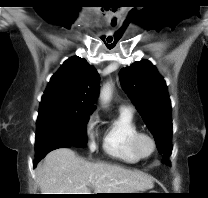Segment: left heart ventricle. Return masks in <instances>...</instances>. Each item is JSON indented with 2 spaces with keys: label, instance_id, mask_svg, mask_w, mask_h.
<instances>
[{
  "label": "left heart ventricle",
  "instance_id": "b2bd125f",
  "mask_svg": "<svg viewBox=\"0 0 208 198\" xmlns=\"http://www.w3.org/2000/svg\"><path fill=\"white\" fill-rule=\"evenodd\" d=\"M141 147H142V150H143L145 153H148V152L151 150V144H150V142L147 141V140H143V141H142Z\"/></svg>",
  "mask_w": 208,
  "mask_h": 198
}]
</instances>
